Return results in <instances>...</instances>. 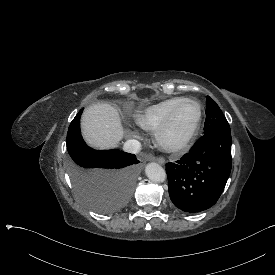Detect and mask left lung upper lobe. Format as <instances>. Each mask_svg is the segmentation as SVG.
<instances>
[{"label": "left lung upper lobe", "instance_id": "1", "mask_svg": "<svg viewBox=\"0 0 275 275\" xmlns=\"http://www.w3.org/2000/svg\"><path fill=\"white\" fill-rule=\"evenodd\" d=\"M206 104L207 110L206 121L204 124V136L220 130H230V126L224 114L215 101L207 96Z\"/></svg>", "mask_w": 275, "mask_h": 275}]
</instances>
